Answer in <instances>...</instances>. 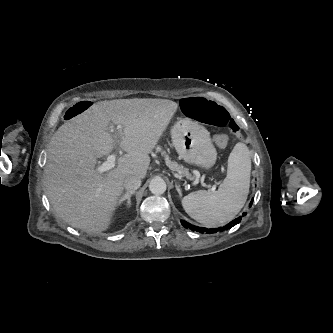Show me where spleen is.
I'll list each match as a JSON object with an SVG mask.
<instances>
[{
  "instance_id": "1",
  "label": "spleen",
  "mask_w": 333,
  "mask_h": 333,
  "mask_svg": "<svg viewBox=\"0 0 333 333\" xmlns=\"http://www.w3.org/2000/svg\"><path fill=\"white\" fill-rule=\"evenodd\" d=\"M251 157L246 144L237 143L228 158L227 177L215 192L199 190L182 199L186 213L207 226L223 225L244 206L250 187Z\"/></svg>"
}]
</instances>
